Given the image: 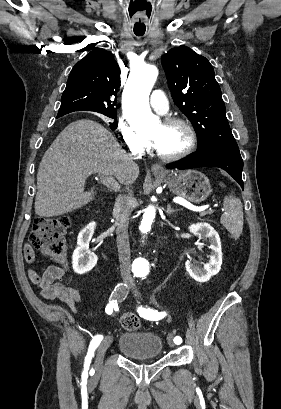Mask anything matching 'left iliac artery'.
<instances>
[{"mask_svg":"<svg viewBox=\"0 0 281 409\" xmlns=\"http://www.w3.org/2000/svg\"><path fill=\"white\" fill-rule=\"evenodd\" d=\"M137 311L141 317L148 319V320H160L166 315L165 312H158L156 310H153L150 308H144V307H139ZM174 342L175 344H180L182 342L181 337L176 336L174 338Z\"/></svg>","mask_w":281,"mask_h":409,"instance_id":"1","label":"left iliac artery"}]
</instances>
